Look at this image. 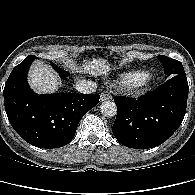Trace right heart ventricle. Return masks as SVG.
<instances>
[{"label":"right heart ventricle","mask_w":195,"mask_h":195,"mask_svg":"<svg viewBox=\"0 0 195 195\" xmlns=\"http://www.w3.org/2000/svg\"><path fill=\"white\" fill-rule=\"evenodd\" d=\"M145 73L142 70L125 72L120 76V84L127 88H134Z\"/></svg>","instance_id":"1"}]
</instances>
